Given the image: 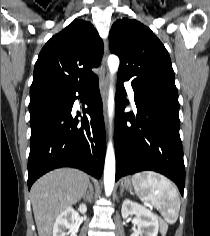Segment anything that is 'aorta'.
Masks as SVG:
<instances>
[{
    "label": "aorta",
    "instance_id": "762f6f07",
    "mask_svg": "<svg viewBox=\"0 0 210 236\" xmlns=\"http://www.w3.org/2000/svg\"><path fill=\"white\" fill-rule=\"evenodd\" d=\"M119 58L116 55H110L108 57V67L111 75H114L119 67ZM114 111V92L111 87L109 90L108 98V114L112 117ZM115 183V153L112 141L108 143L105 166H104V187L107 196L111 195Z\"/></svg>",
    "mask_w": 210,
    "mask_h": 236
}]
</instances>
